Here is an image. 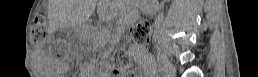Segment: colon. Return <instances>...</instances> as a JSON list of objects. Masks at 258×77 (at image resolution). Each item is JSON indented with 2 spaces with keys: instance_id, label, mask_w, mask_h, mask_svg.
Returning <instances> with one entry per match:
<instances>
[{
  "instance_id": "5ec220e1",
  "label": "colon",
  "mask_w": 258,
  "mask_h": 77,
  "mask_svg": "<svg viewBox=\"0 0 258 77\" xmlns=\"http://www.w3.org/2000/svg\"><path fill=\"white\" fill-rule=\"evenodd\" d=\"M33 41L38 45H45L50 37L47 30V23L44 16L39 15L35 18L32 27ZM130 39L133 43H146L150 39V26L146 22H139L131 27ZM130 65L128 53L124 49L116 52L113 58V68L123 70Z\"/></svg>"
}]
</instances>
